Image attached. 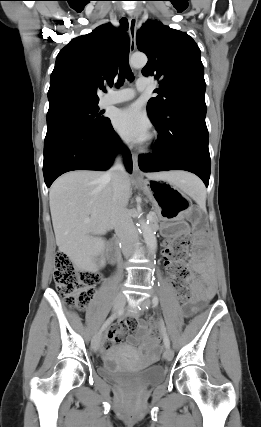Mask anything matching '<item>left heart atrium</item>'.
Masks as SVG:
<instances>
[{
    "instance_id": "left-heart-atrium-1",
    "label": "left heart atrium",
    "mask_w": 261,
    "mask_h": 427,
    "mask_svg": "<svg viewBox=\"0 0 261 427\" xmlns=\"http://www.w3.org/2000/svg\"><path fill=\"white\" fill-rule=\"evenodd\" d=\"M113 125L131 143H144L150 136V121L137 105L117 111L113 117Z\"/></svg>"
}]
</instances>
